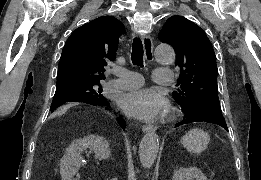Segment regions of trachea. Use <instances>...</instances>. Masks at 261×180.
Wrapping results in <instances>:
<instances>
[{"label":"trachea","instance_id":"3493384b","mask_svg":"<svg viewBox=\"0 0 261 180\" xmlns=\"http://www.w3.org/2000/svg\"><path fill=\"white\" fill-rule=\"evenodd\" d=\"M143 45L140 38H134L132 44L131 60L133 65L143 67Z\"/></svg>","mask_w":261,"mask_h":180}]
</instances>
